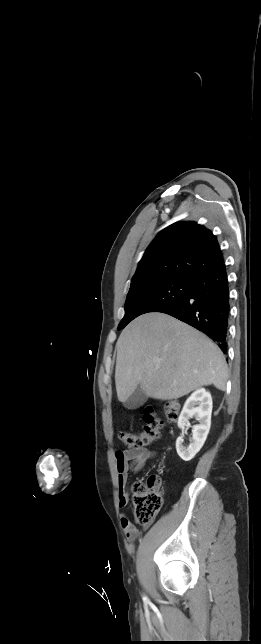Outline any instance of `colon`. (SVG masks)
Instances as JSON below:
<instances>
[{"mask_svg": "<svg viewBox=\"0 0 261 644\" xmlns=\"http://www.w3.org/2000/svg\"><path fill=\"white\" fill-rule=\"evenodd\" d=\"M163 410L167 420L175 421L178 418L180 404L176 400L167 401ZM143 421V430L139 434L120 432V439L128 448L143 449L161 437L163 421L153 409L146 408ZM133 494L136 521L141 524L149 523L160 511L163 503L160 478L150 475L144 482H136L133 486Z\"/></svg>", "mask_w": 261, "mask_h": 644, "instance_id": "5ec220e1", "label": "colon"}]
</instances>
